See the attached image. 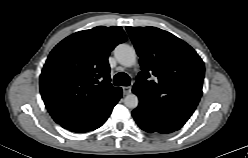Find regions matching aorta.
Listing matches in <instances>:
<instances>
[{"instance_id": "aorta-1", "label": "aorta", "mask_w": 248, "mask_h": 158, "mask_svg": "<svg viewBox=\"0 0 248 158\" xmlns=\"http://www.w3.org/2000/svg\"><path fill=\"white\" fill-rule=\"evenodd\" d=\"M114 55L117 61L125 67H131L136 63L135 49L128 44L123 43L116 46ZM124 104L129 109H135L139 104V99L135 94H128L124 98Z\"/></svg>"}]
</instances>
